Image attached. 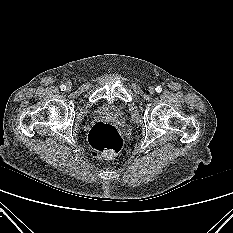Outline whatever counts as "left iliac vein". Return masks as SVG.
Here are the masks:
<instances>
[{"mask_svg": "<svg viewBox=\"0 0 233 233\" xmlns=\"http://www.w3.org/2000/svg\"><path fill=\"white\" fill-rule=\"evenodd\" d=\"M155 92V88L154 87H149V93L153 94Z\"/></svg>", "mask_w": 233, "mask_h": 233, "instance_id": "obj_1", "label": "left iliac vein"}]
</instances>
